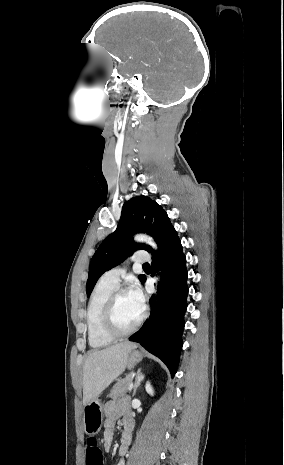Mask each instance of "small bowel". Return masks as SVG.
<instances>
[{
	"mask_svg": "<svg viewBox=\"0 0 284 465\" xmlns=\"http://www.w3.org/2000/svg\"><path fill=\"white\" fill-rule=\"evenodd\" d=\"M105 421L103 432V446L108 451L113 443L114 430L118 420L121 419L123 424V432L120 440L119 447V461L118 465H125V458L128 454L129 446L132 440V420L128 412V405L125 400L115 401L111 400L106 403L105 408Z\"/></svg>",
	"mask_w": 284,
	"mask_h": 465,
	"instance_id": "1",
	"label": "small bowel"
}]
</instances>
